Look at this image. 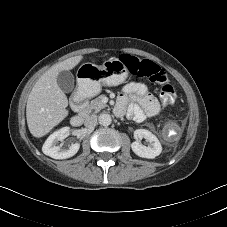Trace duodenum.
Wrapping results in <instances>:
<instances>
[{"mask_svg":"<svg viewBox=\"0 0 227 227\" xmlns=\"http://www.w3.org/2000/svg\"><path fill=\"white\" fill-rule=\"evenodd\" d=\"M87 99L84 95V89L79 88L72 96L71 106L76 111L71 117L70 123L74 127H80L84 120V109L86 107Z\"/></svg>","mask_w":227,"mask_h":227,"instance_id":"obj_1","label":"duodenum"}]
</instances>
